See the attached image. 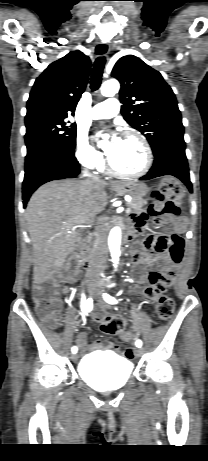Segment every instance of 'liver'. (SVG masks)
<instances>
[{
  "label": "liver",
  "mask_w": 208,
  "mask_h": 461,
  "mask_svg": "<svg viewBox=\"0 0 208 461\" xmlns=\"http://www.w3.org/2000/svg\"><path fill=\"white\" fill-rule=\"evenodd\" d=\"M105 182L60 180L42 185L29 200L26 220L33 245L35 283L60 269L82 230L107 204Z\"/></svg>",
  "instance_id": "obj_1"
}]
</instances>
